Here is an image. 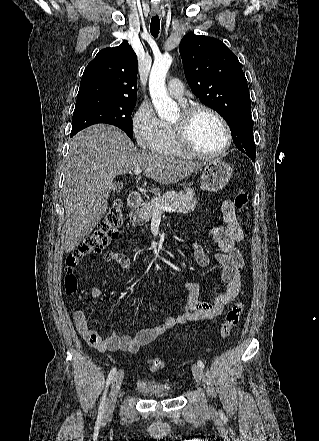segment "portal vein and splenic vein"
<instances>
[{"label": "portal vein and splenic vein", "instance_id": "1", "mask_svg": "<svg viewBox=\"0 0 319 441\" xmlns=\"http://www.w3.org/2000/svg\"><path fill=\"white\" fill-rule=\"evenodd\" d=\"M141 172H142V169H141V168H135V169H134V173H135L136 175H140ZM162 211H164V212H171V211H173V209L170 208V207L156 206V208H155V214H161Z\"/></svg>", "mask_w": 319, "mask_h": 441}]
</instances>
